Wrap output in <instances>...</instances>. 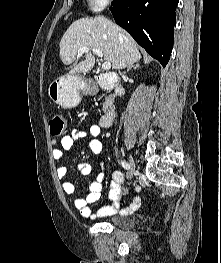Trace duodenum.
Masks as SVG:
<instances>
[{
  "mask_svg": "<svg viewBox=\"0 0 221 263\" xmlns=\"http://www.w3.org/2000/svg\"><path fill=\"white\" fill-rule=\"evenodd\" d=\"M97 79L101 86L108 90H114L116 95H122V91L118 88L119 80L114 73H100ZM115 113V104L112 99L108 100L104 107V114L102 118V124L108 126Z\"/></svg>",
  "mask_w": 221,
  "mask_h": 263,
  "instance_id": "410a0bca",
  "label": "duodenum"
}]
</instances>
